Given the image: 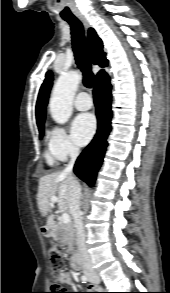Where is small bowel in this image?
I'll return each mask as SVG.
<instances>
[{
    "mask_svg": "<svg viewBox=\"0 0 170 293\" xmlns=\"http://www.w3.org/2000/svg\"><path fill=\"white\" fill-rule=\"evenodd\" d=\"M67 283L71 286H75L76 285V280L75 278L72 276V275H69L67 277ZM90 293H99L97 290H93L92 292Z\"/></svg>",
    "mask_w": 170,
    "mask_h": 293,
    "instance_id": "1",
    "label": "small bowel"
}]
</instances>
